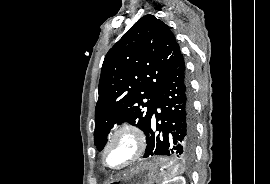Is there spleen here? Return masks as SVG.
<instances>
[{
    "instance_id": "obj_1",
    "label": "spleen",
    "mask_w": 270,
    "mask_h": 184,
    "mask_svg": "<svg viewBox=\"0 0 270 184\" xmlns=\"http://www.w3.org/2000/svg\"><path fill=\"white\" fill-rule=\"evenodd\" d=\"M161 162V166L164 168L166 167V159H160ZM177 171H178V166H176L175 168H173L170 171H162L161 175L163 177V183H166L167 181H169L170 179L174 178L177 175Z\"/></svg>"
}]
</instances>
